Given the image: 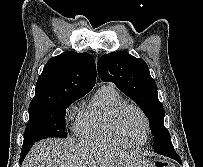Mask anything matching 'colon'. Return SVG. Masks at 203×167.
Returning a JSON list of instances; mask_svg holds the SVG:
<instances>
[{
  "mask_svg": "<svg viewBox=\"0 0 203 167\" xmlns=\"http://www.w3.org/2000/svg\"><path fill=\"white\" fill-rule=\"evenodd\" d=\"M155 167H173L168 162L165 161H159L155 164Z\"/></svg>",
  "mask_w": 203,
  "mask_h": 167,
  "instance_id": "1",
  "label": "colon"
}]
</instances>
